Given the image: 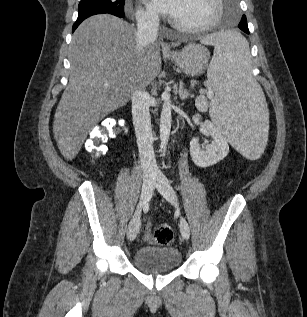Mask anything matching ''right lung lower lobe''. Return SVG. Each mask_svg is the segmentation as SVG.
Wrapping results in <instances>:
<instances>
[{
	"instance_id": "obj_1",
	"label": "right lung lower lobe",
	"mask_w": 307,
	"mask_h": 317,
	"mask_svg": "<svg viewBox=\"0 0 307 317\" xmlns=\"http://www.w3.org/2000/svg\"><path fill=\"white\" fill-rule=\"evenodd\" d=\"M107 12H103V11H92V12H88V13H84V14H80L78 15V18H77V21L74 23L73 25V28H72V31L74 32L75 29L80 25V23L82 21H84L86 18L92 16V15H96V14H105ZM110 14V13H109ZM115 16H118V17H123L124 16V13L123 14H120V15H115Z\"/></svg>"
}]
</instances>
